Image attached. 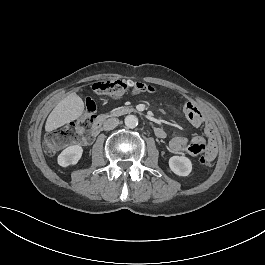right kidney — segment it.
Returning <instances> with one entry per match:
<instances>
[{"mask_svg":"<svg viewBox=\"0 0 265 265\" xmlns=\"http://www.w3.org/2000/svg\"><path fill=\"white\" fill-rule=\"evenodd\" d=\"M83 155V147L80 144L70 145L64 148L57 157V164L67 168L78 164Z\"/></svg>","mask_w":265,"mask_h":265,"instance_id":"obj_1","label":"right kidney"}]
</instances>
